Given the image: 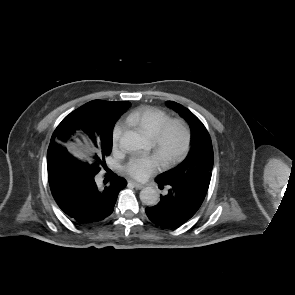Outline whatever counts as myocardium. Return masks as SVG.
Here are the masks:
<instances>
[{"label":"myocardium","instance_id":"f54148a6","mask_svg":"<svg viewBox=\"0 0 295 295\" xmlns=\"http://www.w3.org/2000/svg\"><path fill=\"white\" fill-rule=\"evenodd\" d=\"M172 131L180 133L181 145L175 153L164 158L165 167H171L181 162L186 157L191 144V131L188 125L180 119H170L152 138L153 147L158 154L163 152L167 138Z\"/></svg>","mask_w":295,"mask_h":295}]
</instances>
